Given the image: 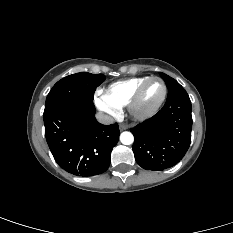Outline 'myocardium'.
<instances>
[{"mask_svg":"<svg viewBox=\"0 0 233 233\" xmlns=\"http://www.w3.org/2000/svg\"><path fill=\"white\" fill-rule=\"evenodd\" d=\"M153 80H158L161 82L162 86H163V93L161 98L159 99V101L150 109L147 110H140L139 109V103L142 97V94L146 88V86ZM167 96V85L165 83V81L158 77V76H152V77H148L145 81H143L138 88L136 89V91L134 92L133 96L131 97L129 103H128V111L130 113V115L137 120H145L150 118L151 116H153L155 113H157L159 111V109L161 108V106L163 105L165 99Z\"/></svg>","mask_w":233,"mask_h":233,"instance_id":"myocardium-1","label":"myocardium"}]
</instances>
